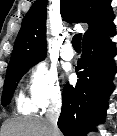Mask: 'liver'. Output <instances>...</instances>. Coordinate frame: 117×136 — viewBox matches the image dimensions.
I'll use <instances>...</instances> for the list:
<instances>
[{"instance_id": "obj_1", "label": "liver", "mask_w": 117, "mask_h": 136, "mask_svg": "<svg viewBox=\"0 0 117 136\" xmlns=\"http://www.w3.org/2000/svg\"><path fill=\"white\" fill-rule=\"evenodd\" d=\"M2 136H51L50 126L47 120H7L2 126ZM57 136H61L58 131Z\"/></svg>"}]
</instances>
